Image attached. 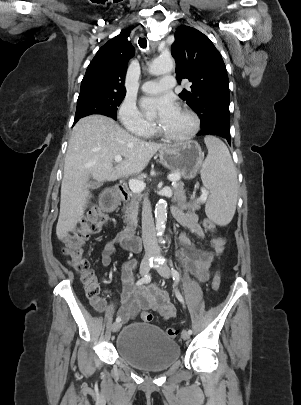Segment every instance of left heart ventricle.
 Segmentation results:
<instances>
[{
  "label": "left heart ventricle",
  "mask_w": 301,
  "mask_h": 405,
  "mask_svg": "<svg viewBox=\"0 0 301 405\" xmlns=\"http://www.w3.org/2000/svg\"><path fill=\"white\" fill-rule=\"evenodd\" d=\"M159 125L170 134L183 135L191 129L192 121L186 114L179 110L167 119L160 121Z\"/></svg>",
  "instance_id": "obj_1"
}]
</instances>
